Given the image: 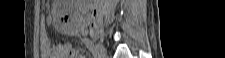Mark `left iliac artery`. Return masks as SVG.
I'll use <instances>...</instances> for the list:
<instances>
[{"mask_svg": "<svg viewBox=\"0 0 225 58\" xmlns=\"http://www.w3.org/2000/svg\"><path fill=\"white\" fill-rule=\"evenodd\" d=\"M83 41L88 49L93 50V44L88 38H84Z\"/></svg>", "mask_w": 225, "mask_h": 58, "instance_id": "obj_1", "label": "left iliac artery"}]
</instances>
